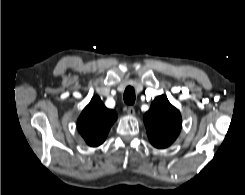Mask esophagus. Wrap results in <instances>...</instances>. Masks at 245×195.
Segmentation results:
<instances>
[{"instance_id":"34e87169","label":"esophagus","mask_w":245,"mask_h":195,"mask_svg":"<svg viewBox=\"0 0 245 195\" xmlns=\"http://www.w3.org/2000/svg\"><path fill=\"white\" fill-rule=\"evenodd\" d=\"M127 114L130 116H134L135 115V108L133 106H129L127 108Z\"/></svg>"}]
</instances>
